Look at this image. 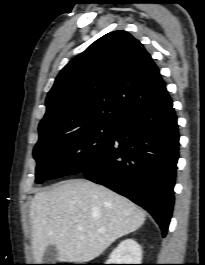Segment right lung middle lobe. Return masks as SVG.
<instances>
[{"label":"right lung middle lobe","mask_w":205,"mask_h":265,"mask_svg":"<svg viewBox=\"0 0 205 265\" xmlns=\"http://www.w3.org/2000/svg\"><path fill=\"white\" fill-rule=\"evenodd\" d=\"M117 123L94 122L61 133L45 129L33 150L36 183L77 174L113 139Z\"/></svg>","instance_id":"1"}]
</instances>
